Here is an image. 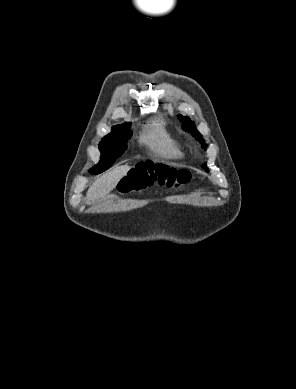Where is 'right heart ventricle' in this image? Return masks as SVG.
Returning <instances> with one entry per match:
<instances>
[{"label":"right heart ventricle","instance_id":"obj_1","mask_svg":"<svg viewBox=\"0 0 296 389\" xmlns=\"http://www.w3.org/2000/svg\"><path fill=\"white\" fill-rule=\"evenodd\" d=\"M140 140L159 157L180 159L183 156L179 142L160 121L148 125L142 132Z\"/></svg>","mask_w":296,"mask_h":389}]
</instances>
